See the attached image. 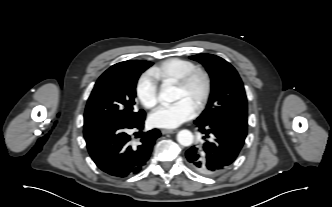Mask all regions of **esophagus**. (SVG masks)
Here are the masks:
<instances>
[{
  "label": "esophagus",
  "instance_id": "34e87169",
  "mask_svg": "<svg viewBox=\"0 0 332 207\" xmlns=\"http://www.w3.org/2000/svg\"><path fill=\"white\" fill-rule=\"evenodd\" d=\"M177 130H171V129H162L161 133L162 134H173L175 133Z\"/></svg>",
  "mask_w": 332,
  "mask_h": 207
}]
</instances>
